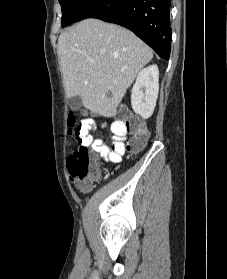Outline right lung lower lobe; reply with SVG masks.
<instances>
[{
	"label": "right lung lower lobe",
	"mask_w": 227,
	"mask_h": 279,
	"mask_svg": "<svg viewBox=\"0 0 227 279\" xmlns=\"http://www.w3.org/2000/svg\"><path fill=\"white\" fill-rule=\"evenodd\" d=\"M171 0H87L73 22L97 18L134 32L164 59L171 49Z\"/></svg>",
	"instance_id": "98d812e1"
}]
</instances>
